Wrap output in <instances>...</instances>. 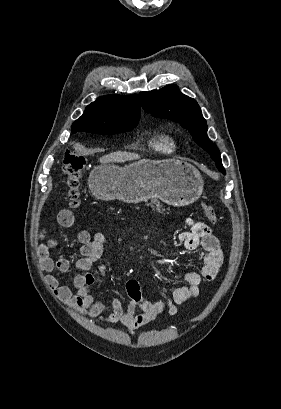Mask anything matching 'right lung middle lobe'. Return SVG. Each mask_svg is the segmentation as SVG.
<instances>
[{
  "label": "right lung middle lobe",
  "mask_w": 281,
  "mask_h": 409,
  "mask_svg": "<svg viewBox=\"0 0 281 409\" xmlns=\"http://www.w3.org/2000/svg\"><path fill=\"white\" fill-rule=\"evenodd\" d=\"M135 126L136 125L126 126V127H81V128L72 130V132L75 133L78 131H85V132H91V133H96V134H117V133L131 130Z\"/></svg>",
  "instance_id": "1"
}]
</instances>
